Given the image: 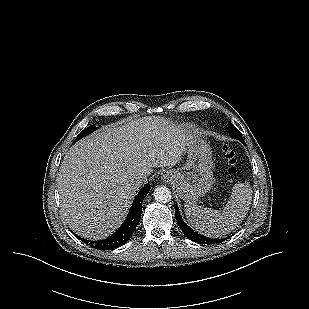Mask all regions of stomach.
<instances>
[{
    "mask_svg": "<svg viewBox=\"0 0 309 309\" xmlns=\"http://www.w3.org/2000/svg\"><path fill=\"white\" fill-rule=\"evenodd\" d=\"M187 161L181 168L167 171L177 194L187 203L210 191L213 184V162L209 145L200 136H189Z\"/></svg>",
    "mask_w": 309,
    "mask_h": 309,
    "instance_id": "1",
    "label": "stomach"
}]
</instances>
